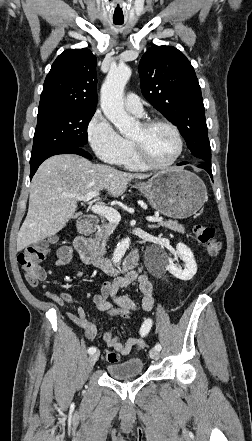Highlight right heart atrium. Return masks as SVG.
I'll list each match as a JSON object with an SVG mask.
<instances>
[{"instance_id": "1", "label": "right heart atrium", "mask_w": 252, "mask_h": 441, "mask_svg": "<svg viewBox=\"0 0 252 441\" xmlns=\"http://www.w3.org/2000/svg\"><path fill=\"white\" fill-rule=\"evenodd\" d=\"M88 143L102 161L120 165L128 151L129 142L122 137L101 111H96L86 127Z\"/></svg>"}]
</instances>
